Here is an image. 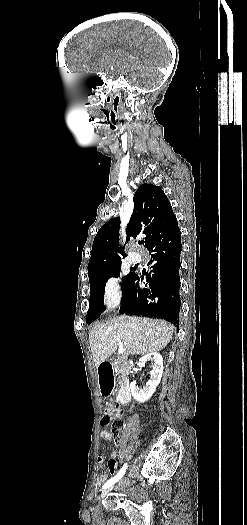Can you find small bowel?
<instances>
[{
    "mask_svg": "<svg viewBox=\"0 0 247 525\" xmlns=\"http://www.w3.org/2000/svg\"><path fill=\"white\" fill-rule=\"evenodd\" d=\"M120 416V413L118 414V417ZM100 437L103 439V440H106L108 442H111L113 445H114V451H113V454L109 460V472L111 474H113L116 469H117V462H116V459H117V456H118V446H117V443L115 441V438H114V435L109 432V431H106V430H103L101 431L100 433ZM104 462V457L102 455H99L97 457V468L100 469L102 467V464ZM109 478V473L108 472H105V473H102L100 475L97 476L96 478V484L98 486H101L103 484H105L107 482Z\"/></svg>",
    "mask_w": 247,
    "mask_h": 525,
    "instance_id": "1",
    "label": "small bowel"
}]
</instances>
